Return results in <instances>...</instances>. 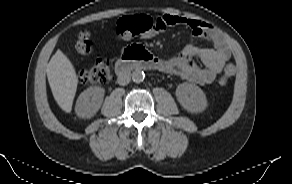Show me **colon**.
Instances as JSON below:
<instances>
[{"mask_svg": "<svg viewBox=\"0 0 292 184\" xmlns=\"http://www.w3.org/2000/svg\"><path fill=\"white\" fill-rule=\"evenodd\" d=\"M162 32L155 18L148 15L126 16L121 18L116 26V34L120 39L127 40L138 36L145 40L155 39ZM93 48V41L88 32L79 34L76 49L80 54L88 55ZM236 69L232 64H228L223 71L219 84H226L234 75ZM79 79L83 84H106L112 79L110 64L107 60L100 59L89 68L79 74Z\"/></svg>", "mask_w": 292, "mask_h": 184, "instance_id": "1", "label": "colon"}]
</instances>
